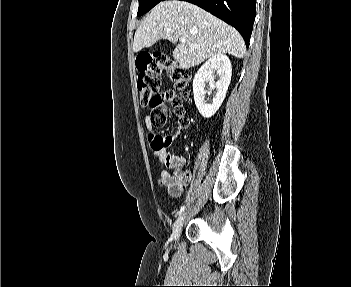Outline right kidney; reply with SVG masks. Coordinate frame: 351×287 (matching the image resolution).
<instances>
[{
    "label": "right kidney",
    "mask_w": 351,
    "mask_h": 287,
    "mask_svg": "<svg viewBox=\"0 0 351 287\" xmlns=\"http://www.w3.org/2000/svg\"><path fill=\"white\" fill-rule=\"evenodd\" d=\"M215 72L219 76L217 82ZM232 66L229 58L224 54L210 57L197 71L193 79L194 101L199 113L204 118L212 117L225 99L231 81ZM209 82L210 90L216 89V95L211 104L205 101V83Z\"/></svg>",
    "instance_id": "right-kidney-1"
}]
</instances>
